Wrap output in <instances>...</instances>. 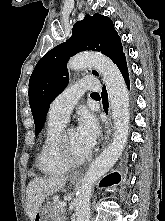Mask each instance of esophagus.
I'll return each mask as SVG.
<instances>
[{
  "label": "esophagus",
  "mask_w": 165,
  "mask_h": 221,
  "mask_svg": "<svg viewBox=\"0 0 165 221\" xmlns=\"http://www.w3.org/2000/svg\"><path fill=\"white\" fill-rule=\"evenodd\" d=\"M111 131H112V116L111 114H109V118H108V121L106 123V136H105V140H104V143H103V147L107 144L109 138H110V135H111ZM82 172H77L75 173L74 176H78L80 175Z\"/></svg>",
  "instance_id": "1"
}]
</instances>
